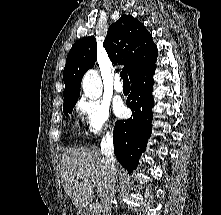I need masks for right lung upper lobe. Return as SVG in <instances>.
Here are the masks:
<instances>
[{
    "label": "right lung upper lobe",
    "mask_w": 221,
    "mask_h": 215,
    "mask_svg": "<svg viewBox=\"0 0 221 215\" xmlns=\"http://www.w3.org/2000/svg\"><path fill=\"white\" fill-rule=\"evenodd\" d=\"M113 64L124 65L131 78L157 58V47L144 25L131 15H122L107 31L103 43ZM94 36L78 40L68 53L63 72L64 103L77 101L81 80L97 60Z\"/></svg>",
    "instance_id": "right-lung-upper-lobe-1"
}]
</instances>
